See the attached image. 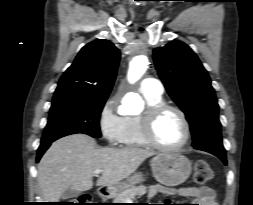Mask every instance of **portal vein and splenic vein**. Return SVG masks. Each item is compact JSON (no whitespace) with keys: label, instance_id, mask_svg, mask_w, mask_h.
Listing matches in <instances>:
<instances>
[{"label":"portal vein and splenic vein","instance_id":"18ae733b","mask_svg":"<svg viewBox=\"0 0 253 205\" xmlns=\"http://www.w3.org/2000/svg\"><path fill=\"white\" fill-rule=\"evenodd\" d=\"M102 172H103L102 170H95V171H94L95 174H100V173H102Z\"/></svg>","mask_w":253,"mask_h":205}]
</instances>
